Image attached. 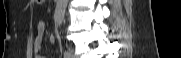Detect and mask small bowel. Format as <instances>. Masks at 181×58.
Masks as SVG:
<instances>
[{
    "instance_id": "obj_1",
    "label": "small bowel",
    "mask_w": 181,
    "mask_h": 58,
    "mask_svg": "<svg viewBox=\"0 0 181 58\" xmlns=\"http://www.w3.org/2000/svg\"><path fill=\"white\" fill-rule=\"evenodd\" d=\"M45 32V24L43 21H39L36 26L35 36H34V57L35 58H43L41 55V47L43 42ZM56 40L54 35L49 37L50 43H54Z\"/></svg>"
}]
</instances>
